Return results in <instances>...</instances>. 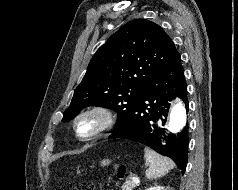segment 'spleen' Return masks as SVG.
Instances as JSON below:
<instances>
[{"label": "spleen", "mask_w": 238, "mask_h": 190, "mask_svg": "<svg viewBox=\"0 0 238 190\" xmlns=\"http://www.w3.org/2000/svg\"><path fill=\"white\" fill-rule=\"evenodd\" d=\"M144 158L149 164V168L146 170V177L149 180L163 177L174 168L171 159L163 157L147 147L144 149Z\"/></svg>", "instance_id": "3e777b00"}]
</instances>
